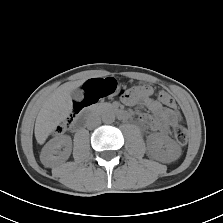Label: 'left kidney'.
Here are the masks:
<instances>
[{
    "label": "left kidney",
    "mask_w": 223,
    "mask_h": 223,
    "mask_svg": "<svg viewBox=\"0 0 223 223\" xmlns=\"http://www.w3.org/2000/svg\"><path fill=\"white\" fill-rule=\"evenodd\" d=\"M148 151L152 158L162 162H172L179 158L180 147L169 136L155 134L149 137Z\"/></svg>",
    "instance_id": "obj_1"
}]
</instances>
